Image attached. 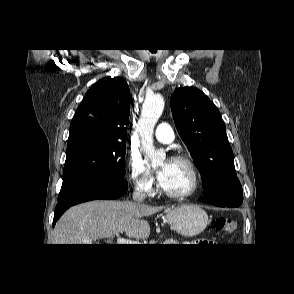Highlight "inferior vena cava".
<instances>
[{"label": "inferior vena cava", "mask_w": 294, "mask_h": 294, "mask_svg": "<svg viewBox=\"0 0 294 294\" xmlns=\"http://www.w3.org/2000/svg\"><path fill=\"white\" fill-rule=\"evenodd\" d=\"M133 200L142 203L145 200V193L143 189L137 186L133 192Z\"/></svg>", "instance_id": "1"}]
</instances>
